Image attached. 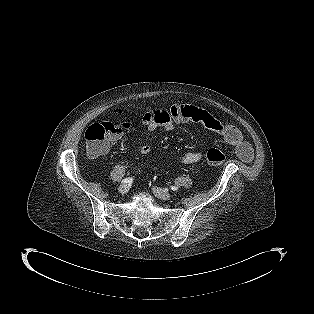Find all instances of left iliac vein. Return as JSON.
I'll return each mask as SVG.
<instances>
[{
    "label": "left iliac vein",
    "mask_w": 314,
    "mask_h": 314,
    "mask_svg": "<svg viewBox=\"0 0 314 314\" xmlns=\"http://www.w3.org/2000/svg\"><path fill=\"white\" fill-rule=\"evenodd\" d=\"M152 190L155 196L162 200H169L171 198V194L161 188L153 187Z\"/></svg>",
    "instance_id": "left-iliac-vein-1"
}]
</instances>
